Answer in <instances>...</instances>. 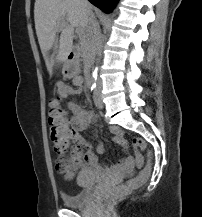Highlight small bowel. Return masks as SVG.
Segmentation results:
<instances>
[{"label":"small bowel","mask_w":202,"mask_h":217,"mask_svg":"<svg viewBox=\"0 0 202 217\" xmlns=\"http://www.w3.org/2000/svg\"><path fill=\"white\" fill-rule=\"evenodd\" d=\"M73 84L77 86L74 89L64 81H58L56 83V89L60 98H66L73 96L80 91L82 85L81 76H74ZM67 108L71 112V116L67 119L68 137L73 139L79 146L85 148L83 154H79L77 161L81 164L83 169L94 170L97 173L109 172L118 177L132 176L136 168L143 164L142 155L137 152L135 157L126 155L119 162L105 167L102 165L96 155L104 152L103 143L99 142L95 148H93L82 136L81 132L84 131L88 125L95 119V114L92 110L81 107L76 101H70L67 103ZM112 133V141L122 147L124 152H127L128 142L124 139L123 133L117 127L110 128Z\"/></svg>","instance_id":"obj_1"}]
</instances>
